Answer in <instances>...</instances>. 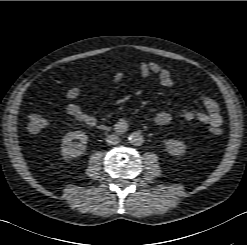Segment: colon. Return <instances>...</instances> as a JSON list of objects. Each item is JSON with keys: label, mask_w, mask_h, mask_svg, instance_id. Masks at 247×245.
Returning <instances> with one entry per match:
<instances>
[{"label": "colon", "mask_w": 247, "mask_h": 245, "mask_svg": "<svg viewBox=\"0 0 247 245\" xmlns=\"http://www.w3.org/2000/svg\"><path fill=\"white\" fill-rule=\"evenodd\" d=\"M47 125V118L39 113V112H32L28 117V130L31 133H39L41 130L45 128ZM211 133L214 135L222 134V130L219 127L211 128Z\"/></svg>", "instance_id": "1"}]
</instances>
